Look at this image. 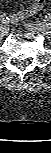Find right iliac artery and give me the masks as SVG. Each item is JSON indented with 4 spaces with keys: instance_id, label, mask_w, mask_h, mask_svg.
Segmentation results:
<instances>
[{
    "instance_id": "1",
    "label": "right iliac artery",
    "mask_w": 51,
    "mask_h": 153,
    "mask_svg": "<svg viewBox=\"0 0 51 153\" xmlns=\"http://www.w3.org/2000/svg\"><path fill=\"white\" fill-rule=\"evenodd\" d=\"M1 25H7L9 23V18L4 14L1 16Z\"/></svg>"
}]
</instances>
